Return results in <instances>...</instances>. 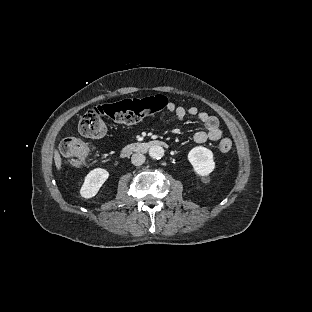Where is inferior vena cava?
<instances>
[{
	"label": "inferior vena cava",
	"instance_id": "602c4592",
	"mask_svg": "<svg viewBox=\"0 0 312 312\" xmlns=\"http://www.w3.org/2000/svg\"><path fill=\"white\" fill-rule=\"evenodd\" d=\"M131 162L135 166H140L145 163V156L141 153H136L132 156Z\"/></svg>",
	"mask_w": 312,
	"mask_h": 312
}]
</instances>
